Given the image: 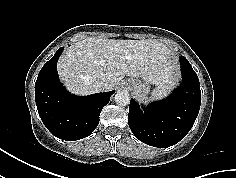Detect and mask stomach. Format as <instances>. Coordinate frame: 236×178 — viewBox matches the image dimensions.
I'll use <instances>...</instances> for the list:
<instances>
[{"instance_id": "obj_1", "label": "stomach", "mask_w": 236, "mask_h": 178, "mask_svg": "<svg viewBox=\"0 0 236 178\" xmlns=\"http://www.w3.org/2000/svg\"><path fill=\"white\" fill-rule=\"evenodd\" d=\"M128 87L130 88L132 94L138 99H145L149 93L148 84L138 79H129Z\"/></svg>"}]
</instances>
